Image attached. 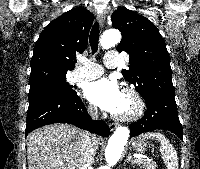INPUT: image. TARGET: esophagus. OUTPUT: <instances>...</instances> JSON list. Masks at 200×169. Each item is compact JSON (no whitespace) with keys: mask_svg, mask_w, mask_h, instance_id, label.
Returning a JSON list of instances; mask_svg holds the SVG:
<instances>
[{"mask_svg":"<svg viewBox=\"0 0 200 169\" xmlns=\"http://www.w3.org/2000/svg\"><path fill=\"white\" fill-rule=\"evenodd\" d=\"M97 19H98L99 25L101 27H103L104 24H105V15L104 14H98ZM109 127H110L111 131H114L117 128V123H111L109 125Z\"/></svg>","mask_w":200,"mask_h":169,"instance_id":"esophagus-1","label":"esophagus"}]
</instances>
